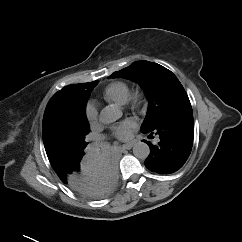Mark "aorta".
Segmentation results:
<instances>
[{"instance_id":"aorta-1","label":"aorta","mask_w":242,"mask_h":242,"mask_svg":"<svg viewBox=\"0 0 242 242\" xmlns=\"http://www.w3.org/2000/svg\"><path fill=\"white\" fill-rule=\"evenodd\" d=\"M121 117L122 111L113 105L104 107L99 114V120L103 124L113 123ZM133 154L136 158L146 159L150 154V148L144 142H137L133 146Z\"/></svg>"}]
</instances>
